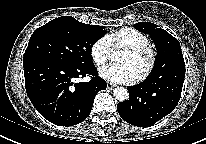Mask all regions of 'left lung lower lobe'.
I'll return each instance as SVG.
<instances>
[{
	"instance_id": "obj_1",
	"label": "left lung lower lobe",
	"mask_w": 206,
	"mask_h": 144,
	"mask_svg": "<svg viewBox=\"0 0 206 144\" xmlns=\"http://www.w3.org/2000/svg\"><path fill=\"white\" fill-rule=\"evenodd\" d=\"M185 70L168 73L155 84L127 87L129 100L119 102L121 118L137 127H148L172 112L181 97Z\"/></svg>"
}]
</instances>
